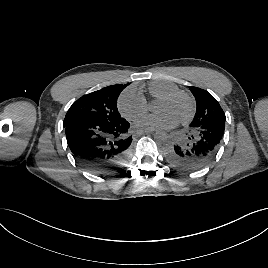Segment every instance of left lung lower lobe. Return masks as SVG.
Wrapping results in <instances>:
<instances>
[{
  "label": "left lung lower lobe",
  "instance_id": "left-lung-lower-lobe-1",
  "mask_svg": "<svg viewBox=\"0 0 268 268\" xmlns=\"http://www.w3.org/2000/svg\"><path fill=\"white\" fill-rule=\"evenodd\" d=\"M225 121H217L193 130L183 143H177L167 152L168 161L177 169L185 172L205 167L217 154Z\"/></svg>",
  "mask_w": 268,
  "mask_h": 268
}]
</instances>
